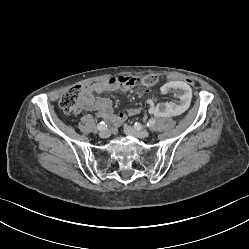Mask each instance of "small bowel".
<instances>
[{
    "label": "small bowel",
    "mask_w": 249,
    "mask_h": 249,
    "mask_svg": "<svg viewBox=\"0 0 249 249\" xmlns=\"http://www.w3.org/2000/svg\"><path fill=\"white\" fill-rule=\"evenodd\" d=\"M135 85L146 87L135 78L124 75L114 76L85 85L83 86L84 99L82 107L86 110H96L99 117L103 118L112 129L117 130L128 117L137 115L140 110L138 108H129L114 114L112 101L109 98L95 97L94 94L111 91L125 92ZM149 104H151V102H149Z\"/></svg>",
    "instance_id": "small-bowel-1"
}]
</instances>
